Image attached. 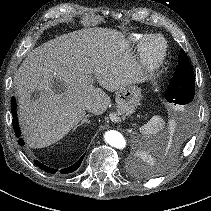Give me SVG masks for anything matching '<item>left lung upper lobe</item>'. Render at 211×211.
<instances>
[{
    "mask_svg": "<svg viewBox=\"0 0 211 211\" xmlns=\"http://www.w3.org/2000/svg\"><path fill=\"white\" fill-rule=\"evenodd\" d=\"M195 94V75L186 53L180 50L178 65L165 92L170 103L190 107Z\"/></svg>",
    "mask_w": 211,
    "mask_h": 211,
    "instance_id": "1",
    "label": "left lung upper lobe"
}]
</instances>
